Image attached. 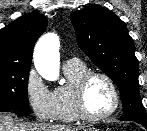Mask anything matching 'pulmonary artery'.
Returning a JSON list of instances; mask_svg holds the SVG:
<instances>
[{"label":"pulmonary artery","mask_w":147,"mask_h":131,"mask_svg":"<svg viewBox=\"0 0 147 131\" xmlns=\"http://www.w3.org/2000/svg\"><path fill=\"white\" fill-rule=\"evenodd\" d=\"M79 59L77 58H70L66 61V64H72V63H79Z\"/></svg>","instance_id":"pulmonary-artery-1"}]
</instances>
